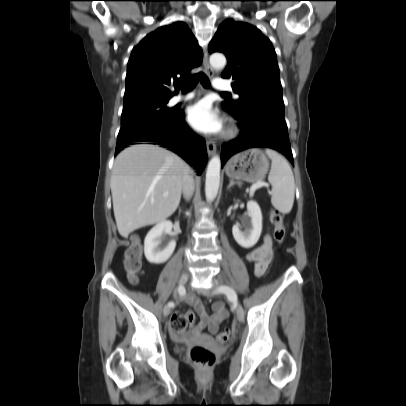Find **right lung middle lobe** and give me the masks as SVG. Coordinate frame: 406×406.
Segmentation results:
<instances>
[{"label":"right lung middle lobe","mask_w":406,"mask_h":406,"mask_svg":"<svg viewBox=\"0 0 406 406\" xmlns=\"http://www.w3.org/2000/svg\"><path fill=\"white\" fill-rule=\"evenodd\" d=\"M168 101L169 99H151L124 106L118 136L152 129L170 121L175 110L166 107Z\"/></svg>","instance_id":"dd1d6c3e"}]
</instances>
